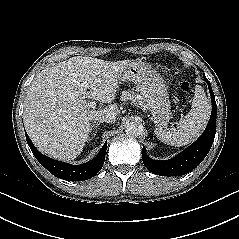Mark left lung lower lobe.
Returning a JSON list of instances; mask_svg holds the SVG:
<instances>
[{"label":"left lung lower lobe","instance_id":"0a47b994","mask_svg":"<svg viewBox=\"0 0 239 239\" xmlns=\"http://www.w3.org/2000/svg\"><path fill=\"white\" fill-rule=\"evenodd\" d=\"M204 80L208 84L212 101V113L204 133L191 146L169 160L157 161L149 158L143 146L142 160L145 167L152 173L161 176H180L187 174L196 168L208 154L216 133L217 105L210 82L207 78Z\"/></svg>","mask_w":239,"mask_h":239}]
</instances>
